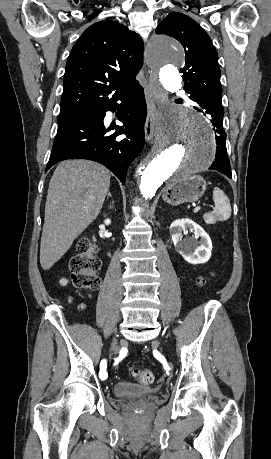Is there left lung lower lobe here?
Returning <instances> with one entry per match:
<instances>
[{"label": "left lung lower lobe", "mask_w": 271, "mask_h": 459, "mask_svg": "<svg viewBox=\"0 0 271 459\" xmlns=\"http://www.w3.org/2000/svg\"><path fill=\"white\" fill-rule=\"evenodd\" d=\"M190 94V93H189ZM189 98L197 102L201 109H197L200 112H204L208 116L211 124L214 127L215 139H216V157L215 161L209 167V169L217 170L229 178H232L231 168L226 150V133L223 129V115L224 111L208 106L209 93L201 92L199 94H190Z\"/></svg>", "instance_id": "1"}]
</instances>
